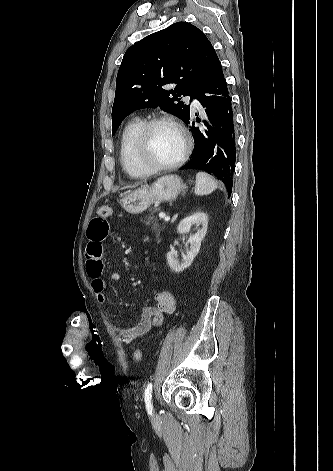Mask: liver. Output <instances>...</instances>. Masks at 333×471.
<instances>
[{
	"instance_id": "obj_1",
	"label": "liver",
	"mask_w": 333,
	"mask_h": 471,
	"mask_svg": "<svg viewBox=\"0 0 333 471\" xmlns=\"http://www.w3.org/2000/svg\"><path fill=\"white\" fill-rule=\"evenodd\" d=\"M132 187H134V186H126L125 188H132Z\"/></svg>"
}]
</instances>
